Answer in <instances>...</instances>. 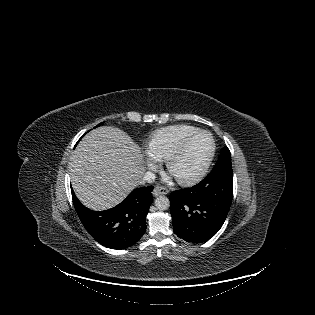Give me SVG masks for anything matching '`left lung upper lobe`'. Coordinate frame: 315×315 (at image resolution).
Wrapping results in <instances>:
<instances>
[{
    "label": "left lung upper lobe",
    "mask_w": 315,
    "mask_h": 315,
    "mask_svg": "<svg viewBox=\"0 0 315 315\" xmlns=\"http://www.w3.org/2000/svg\"><path fill=\"white\" fill-rule=\"evenodd\" d=\"M223 177H233L231 155L229 149L225 146L219 159L211 173L207 176L210 180H217Z\"/></svg>",
    "instance_id": "5c2ea615"
}]
</instances>
